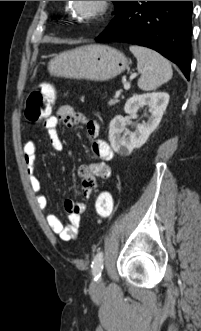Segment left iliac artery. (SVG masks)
Wrapping results in <instances>:
<instances>
[{
	"instance_id": "obj_1",
	"label": "left iliac artery",
	"mask_w": 201,
	"mask_h": 331,
	"mask_svg": "<svg viewBox=\"0 0 201 331\" xmlns=\"http://www.w3.org/2000/svg\"><path fill=\"white\" fill-rule=\"evenodd\" d=\"M103 252L100 251L96 254L94 257V260L92 262V273L94 276V280H98L99 277L101 276L102 270H103Z\"/></svg>"
}]
</instances>
